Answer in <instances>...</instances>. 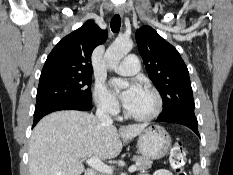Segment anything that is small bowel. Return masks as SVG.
Segmentation results:
<instances>
[{
    "label": "small bowel",
    "mask_w": 233,
    "mask_h": 175,
    "mask_svg": "<svg viewBox=\"0 0 233 175\" xmlns=\"http://www.w3.org/2000/svg\"><path fill=\"white\" fill-rule=\"evenodd\" d=\"M139 175H150V174L142 173ZM154 175H173V173L167 169H160V170L156 171Z\"/></svg>",
    "instance_id": "small-bowel-1"
}]
</instances>
